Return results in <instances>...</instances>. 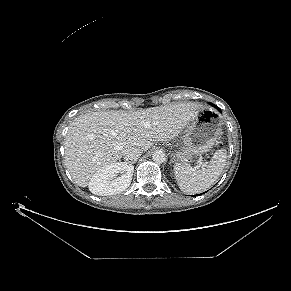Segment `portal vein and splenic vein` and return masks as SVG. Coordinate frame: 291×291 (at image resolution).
<instances>
[{
	"instance_id": "obj_1",
	"label": "portal vein and splenic vein",
	"mask_w": 291,
	"mask_h": 291,
	"mask_svg": "<svg viewBox=\"0 0 291 291\" xmlns=\"http://www.w3.org/2000/svg\"><path fill=\"white\" fill-rule=\"evenodd\" d=\"M200 166L202 168H204L206 166V164L201 159L198 160V167H200Z\"/></svg>"
}]
</instances>
